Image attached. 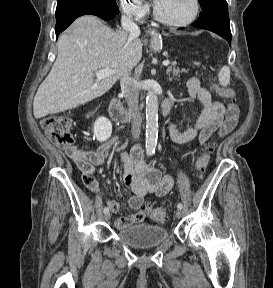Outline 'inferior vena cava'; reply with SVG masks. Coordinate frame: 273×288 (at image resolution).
<instances>
[{
  "mask_svg": "<svg viewBox=\"0 0 273 288\" xmlns=\"http://www.w3.org/2000/svg\"><path fill=\"white\" fill-rule=\"evenodd\" d=\"M121 25L124 31L128 32L131 37H138L140 29L136 23L133 22L130 16L123 15L121 18ZM122 93L125 95L128 110L131 116V133L132 137L137 140L141 133L142 117L138 107L139 87L137 81L130 77V72L121 76L120 80Z\"/></svg>",
  "mask_w": 273,
  "mask_h": 288,
  "instance_id": "inferior-vena-cava-1",
  "label": "inferior vena cava"
}]
</instances>
